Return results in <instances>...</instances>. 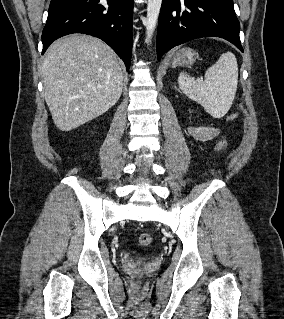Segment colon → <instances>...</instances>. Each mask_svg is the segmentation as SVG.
Listing matches in <instances>:
<instances>
[{
  "instance_id": "obj_1",
  "label": "colon",
  "mask_w": 284,
  "mask_h": 319,
  "mask_svg": "<svg viewBox=\"0 0 284 319\" xmlns=\"http://www.w3.org/2000/svg\"><path fill=\"white\" fill-rule=\"evenodd\" d=\"M238 114L237 113H230L228 114L225 119L227 121H234L236 118H237ZM226 140L224 138L220 139L217 143V148L219 150H224L226 148ZM138 244L140 246H148L151 241H152V237L150 234L148 233H141L139 236H138Z\"/></svg>"
}]
</instances>
